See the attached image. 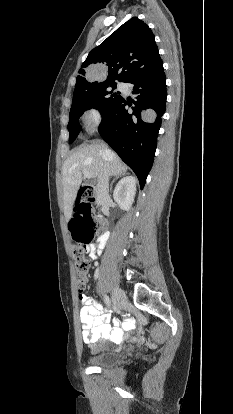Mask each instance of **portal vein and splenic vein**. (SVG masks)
I'll list each match as a JSON object with an SVG mask.
<instances>
[{"mask_svg":"<svg viewBox=\"0 0 233 414\" xmlns=\"http://www.w3.org/2000/svg\"><path fill=\"white\" fill-rule=\"evenodd\" d=\"M91 176L89 174H87V178H90Z\"/></svg>","mask_w":233,"mask_h":414,"instance_id":"1","label":"portal vein and splenic vein"}]
</instances>
